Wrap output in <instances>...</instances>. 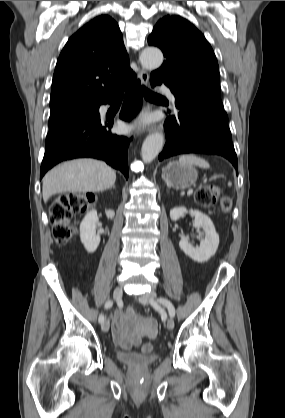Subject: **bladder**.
Returning a JSON list of instances; mask_svg holds the SVG:
<instances>
[{"mask_svg": "<svg viewBox=\"0 0 285 418\" xmlns=\"http://www.w3.org/2000/svg\"><path fill=\"white\" fill-rule=\"evenodd\" d=\"M118 357L120 361L132 366H147L156 360L151 353H139L133 349L119 351Z\"/></svg>", "mask_w": 285, "mask_h": 418, "instance_id": "31cf9c89", "label": "bladder"}]
</instances>
